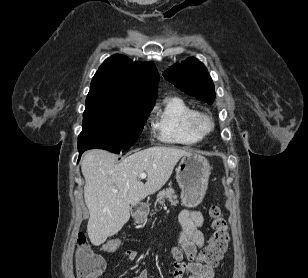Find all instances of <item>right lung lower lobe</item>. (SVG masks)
I'll list each match as a JSON object with an SVG mask.
<instances>
[{
    "mask_svg": "<svg viewBox=\"0 0 308 278\" xmlns=\"http://www.w3.org/2000/svg\"><path fill=\"white\" fill-rule=\"evenodd\" d=\"M85 150H79V159H80V156L82 155V153L84 152Z\"/></svg>",
    "mask_w": 308,
    "mask_h": 278,
    "instance_id": "right-lung-lower-lobe-1",
    "label": "right lung lower lobe"
}]
</instances>
